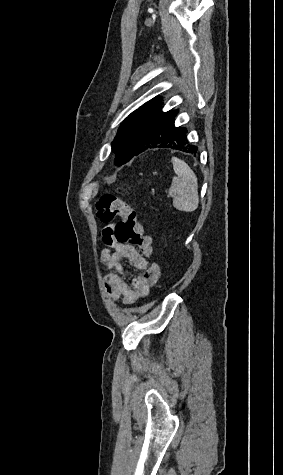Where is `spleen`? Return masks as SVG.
Returning a JSON list of instances; mask_svg holds the SVG:
<instances>
[{
    "instance_id": "obj_1",
    "label": "spleen",
    "mask_w": 283,
    "mask_h": 475,
    "mask_svg": "<svg viewBox=\"0 0 283 475\" xmlns=\"http://www.w3.org/2000/svg\"><path fill=\"white\" fill-rule=\"evenodd\" d=\"M173 170L176 174L169 188V198H173V206L180 212H194L199 204L197 178L179 158H171Z\"/></svg>"
}]
</instances>
